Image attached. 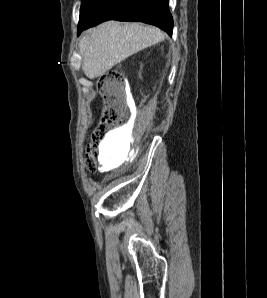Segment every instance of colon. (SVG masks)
Returning a JSON list of instances; mask_svg holds the SVG:
<instances>
[{"mask_svg": "<svg viewBox=\"0 0 267 298\" xmlns=\"http://www.w3.org/2000/svg\"><path fill=\"white\" fill-rule=\"evenodd\" d=\"M98 87L104 101V108L87 149L85 166L88 172L96 171L98 156L108 135L127 123L122 74L114 70L107 72L100 78Z\"/></svg>", "mask_w": 267, "mask_h": 298, "instance_id": "colon-1", "label": "colon"}]
</instances>
